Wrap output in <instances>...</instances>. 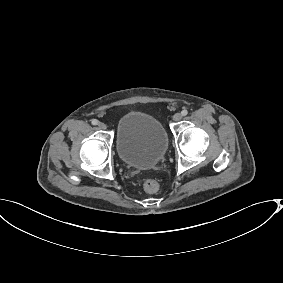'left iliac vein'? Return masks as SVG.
<instances>
[{
    "label": "left iliac vein",
    "mask_w": 283,
    "mask_h": 283,
    "mask_svg": "<svg viewBox=\"0 0 283 283\" xmlns=\"http://www.w3.org/2000/svg\"><path fill=\"white\" fill-rule=\"evenodd\" d=\"M182 119V114L181 113H175L173 116L174 121H180Z\"/></svg>",
    "instance_id": "4c4485c4"
}]
</instances>
